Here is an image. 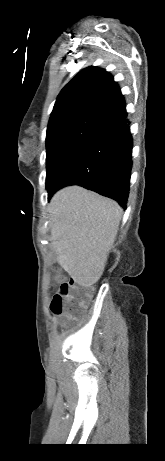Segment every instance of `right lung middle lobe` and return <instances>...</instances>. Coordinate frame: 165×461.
I'll list each match as a JSON object with an SVG mask.
<instances>
[{
  "mask_svg": "<svg viewBox=\"0 0 165 461\" xmlns=\"http://www.w3.org/2000/svg\"><path fill=\"white\" fill-rule=\"evenodd\" d=\"M105 120L94 115L56 119L46 136V186L52 183L67 160Z\"/></svg>",
  "mask_w": 165,
  "mask_h": 461,
  "instance_id": "right-lung-middle-lobe-1",
  "label": "right lung middle lobe"
}]
</instances>
